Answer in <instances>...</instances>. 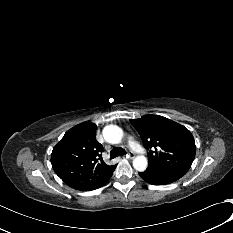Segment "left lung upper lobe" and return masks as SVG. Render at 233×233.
<instances>
[{"instance_id": "left-lung-upper-lobe-1", "label": "left lung upper lobe", "mask_w": 233, "mask_h": 233, "mask_svg": "<svg viewBox=\"0 0 233 233\" xmlns=\"http://www.w3.org/2000/svg\"><path fill=\"white\" fill-rule=\"evenodd\" d=\"M130 123L149 150L148 170L171 181H177L189 170L196 146L187 128L159 115H146Z\"/></svg>"}]
</instances>
